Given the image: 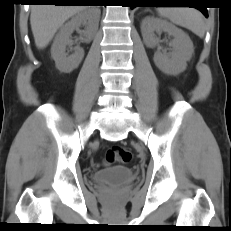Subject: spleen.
Returning <instances> with one entry per match:
<instances>
[{
  "label": "spleen",
  "instance_id": "1",
  "mask_svg": "<svg viewBox=\"0 0 231 231\" xmlns=\"http://www.w3.org/2000/svg\"><path fill=\"white\" fill-rule=\"evenodd\" d=\"M157 11L172 23L189 29L199 37L204 36L205 24L198 10L189 7H160Z\"/></svg>",
  "mask_w": 231,
  "mask_h": 231
}]
</instances>
